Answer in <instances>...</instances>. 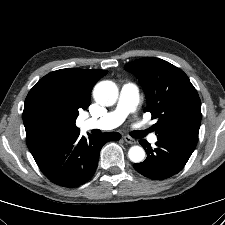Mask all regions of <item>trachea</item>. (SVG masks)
Wrapping results in <instances>:
<instances>
[{
  "mask_svg": "<svg viewBox=\"0 0 225 225\" xmlns=\"http://www.w3.org/2000/svg\"><path fill=\"white\" fill-rule=\"evenodd\" d=\"M146 131H135L134 132V137L135 138H143L146 135Z\"/></svg>",
  "mask_w": 225,
  "mask_h": 225,
  "instance_id": "obj_1",
  "label": "trachea"
}]
</instances>
